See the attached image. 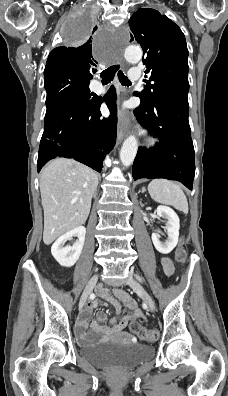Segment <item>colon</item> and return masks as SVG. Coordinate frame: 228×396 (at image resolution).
I'll return each mask as SVG.
<instances>
[{"label":"colon","mask_w":228,"mask_h":396,"mask_svg":"<svg viewBox=\"0 0 228 396\" xmlns=\"http://www.w3.org/2000/svg\"><path fill=\"white\" fill-rule=\"evenodd\" d=\"M185 258H186L185 252L183 250H180L177 253L178 261L183 262ZM129 327L131 331L135 332L137 335H139L145 340L155 341L158 337V332L156 330H147L143 328L141 325H139L136 321L131 322Z\"/></svg>","instance_id":"colon-1"}]
</instances>
